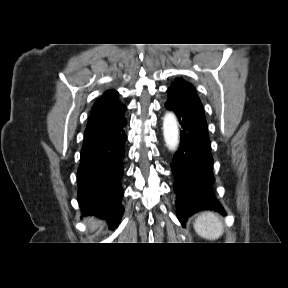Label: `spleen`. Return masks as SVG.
Masks as SVG:
<instances>
[{"label": "spleen", "mask_w": 288, "mask_h": 288, "mask_svg": "<svg viewBox=\"0 0 288 288\" xmlns=\"http://www.w3.org/2000/svg\"><path fill=\"white\" fill-rule=\"evenodd\" d=\"M194 229L201 237L216 240L223 234V223L217 214L204 212L196 219Z\"/></svg>", "instance_id": "obj_1"}]
</instances>
